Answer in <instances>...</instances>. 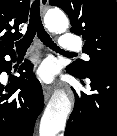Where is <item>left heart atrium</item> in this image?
<instances>
[{
    "label": "left heart atrium",
    "mask_w": 117,
    "mask_h": 136,
    "mask_svg": "<svg viewBox=\"0 0 117 136\" xmlns=\"http://www.w3.org/2000/svg\"><path fill=\"white\" fill-rule=\"evenodd\" d=\"M36 76L45 83H51L55 79L56 67L52 60H44L36 69Z\"/></svg>",
    "instance_id": "1"
}]
</instances>
